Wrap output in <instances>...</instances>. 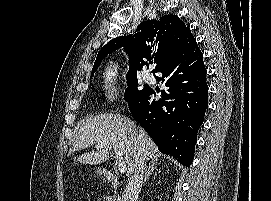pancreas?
Wrapping results in <instances>:
<instances>
[{
	"instance_id": "pancreas-1",
	"label": "pancreas",
	"mask_w": 271,
	"mask_h": 201,
	"mask_svg": "<svg viewBox=\"0 0 271 201\" xmlns=\"http://www.w3.org/2000/svg\"><path fill=\"white\" fill-rule=\"evenodd\" d=\"M107 201H120L119 195L117 197H108Z\"/></svg>"
}]
</instances>
